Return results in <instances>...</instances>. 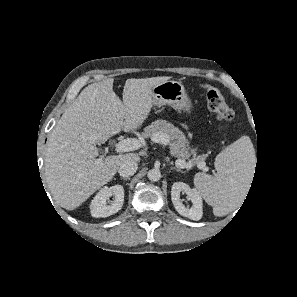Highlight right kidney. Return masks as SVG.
Returning a JSON list of instances; mask_svg holds the SVG:
<instances>
[{"label":"right kidney","instance_id":"right-kidney-1","mask_svg":"<svg viewBox=\"0 0 297 297\" xmlns=\"http://www.w3.org/2000/svg\"><path fill=\"white\" fill-rule=\"evenodd\" d=\"M114 196V200L107 205V200ZM124 203V188L121 185L103 187L90 204L91 215L95 218L108 217L117 213Z\"/></svg>","mask_w":297,"mask_h":297}]
</instances>
